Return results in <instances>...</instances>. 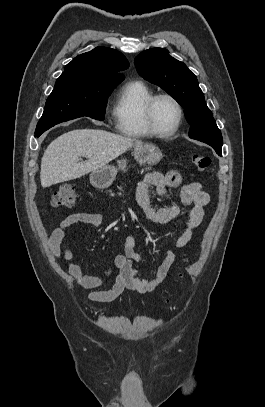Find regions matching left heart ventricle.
Listing matches in <instances>:
<instances>
[{"mask_svg": "<svg viewBox=\"0 0 265 407\" xmlns=\"http://www.w3.org/2000/svg\"><path fill=\"white\" fill-rule=\"evenodd\" d=\"M178 111L174 103L168 99H160L154 109V121L161 131L170 130L176 123Z\"/></svg>", "mask_w": 265, "mask_h": 407, "instance_id": "obj_1", "label": "left heart ventricle"}]
</instances>
